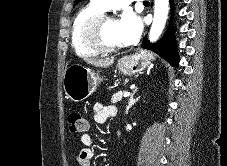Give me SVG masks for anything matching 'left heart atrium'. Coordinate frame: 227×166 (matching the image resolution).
Segmentation results:
<instances>
[{"label": "left heart atrium", "mask_w": 227, "mask_h": 166, "mask_svg": "<svg viewBox=\"0 0 227 166\" xmlns=\"http://www.w3.org/2000/svg\"><path fill=\"white\" fill-rule=\"evenodd\" d=\"M142 19L134 12L128 11L118 20V34L122 43L134 42L142 31Z\"/></svg>", "instance_id": "left-heart-atrium-1"}]
</instances>
